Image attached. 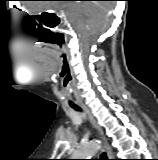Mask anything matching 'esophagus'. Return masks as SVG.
<instances>
[{"label": "esophagus", "instance_id": "esophagus-1", "mask_svg": "<svg viewBox=\"0 0 158 160\" xmlns=\"http://www.w3.org/2000/svg\"><path fill=\"white\" fill-rule=\"evenodd\" d=\"M84 109L89 114L92 124L97 129L98 134L100 135L101 139L103 140V151H105L107 153V157L109 158V160H111L113 158V153H112V150L103 135L101 128L98 126V124L96 123V121L94 120L92 115L89 113V111L85 107H84Z\"/></svg>", "mask_w": 158, "mask_h": 160}]
</instances>
